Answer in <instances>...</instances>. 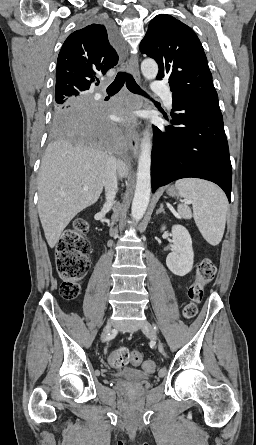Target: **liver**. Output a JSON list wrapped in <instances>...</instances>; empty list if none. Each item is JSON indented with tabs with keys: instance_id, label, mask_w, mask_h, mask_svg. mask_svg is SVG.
I'll return each mask as SVG.
<instances>
[{
	"instance_id": "6515ba94",
	"label": "liver",
	"mask_w": 256,
	"mask_h": 445,
	"mask_svg": "<svg viewBox=\"0 0 256 445\" xmlns=\"http://www.w3.org/2000/svg\"><path fill=\"white\" fill-rule=\"evenodd\" d=\"M108 156L99 146L56 140L46 149L38 174V213L51 248L82 210L99 199ZM121 177L126 164L118 161ZM84 188H87L85 191Z\"/></svg>"
}]
</instances>
